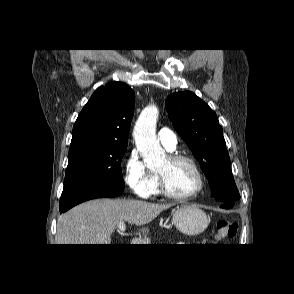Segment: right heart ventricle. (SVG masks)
<instances>
[{
  "label": "right heart ventricle",
  "mask_w": 294,
  "mask_h": 294,
  "mask_svg": "<svg viewBox=\"0 0 294 294\" xmlns=\"http://www.w3.org/2000/svg\"><path fill=\"white\" fill-rule=\"evenodd\" d=\"M157 193H159V191H158V187H157V184H156L154 189H153V194H157Z\"/></svg>",
  "instance_id": "obj_1"
}]
</instances>
